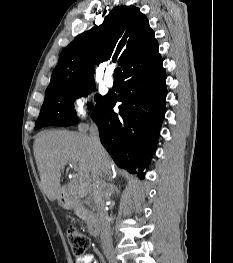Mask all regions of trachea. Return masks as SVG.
<instances>
[{
	"label": "trachea",
	"mask_w": 233,
	"mask_h": 263,
	"mask_svg": "<svg viewBox=\"0 0 233 263\" xmlns=\"http://www.w3.org/2000/svg\"><path fill=\"white\" fill-rule=\"evenodd\" d=\"M114 78L115 79H121V68H116L114 71Z\"/></svg>",
	"instance_id": "1"
}]
</instances>
